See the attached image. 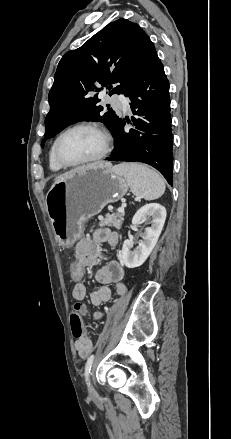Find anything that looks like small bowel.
Listing matches in <instances>:
<instances>
[{"label":"small bowel","instance_id":"small-bowel-1","mask_svg":"<svg viewBox=\"0 0 231 439\" xmlns=\"http://www.w3.org/2000/svg\"><path fill=\"white\" fill-rule=\"evenodd\" d=\"M120 241L121 237L118 232L111 231L108 228L97 229L92 236L86 237L78 243L75 258H82V264H84L86 270L87 267L96 265L101 260L102 244L108 243L112 248L116 249ZM124 277L125 268L118 261L110 260L102 265L95 274V280L98 285L89 294L91 304L99 306L109 302L112 296L110 289L111 284L115 285L119 295L125 294L126 285L123 283ZM73 288L72 297L77 302L75 309L83 315H87L89 311L87 307L82 304V301L87 295V284L75 283ZM93 316L95 319H99L102 314L97 312ZM74 347L82 358H86L93 350L92 342L88 337L77 339L74 343Z\"/></svg>","mask_w":231,"mask_h":439}]
</instances>
